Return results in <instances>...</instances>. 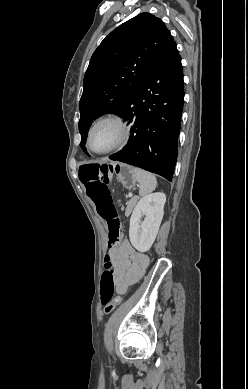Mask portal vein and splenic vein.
I'll use <instances>...</instances> for the list:
<instances>
[{"label": "portal vein and splenic vein", "instance_id": "18ae733b", "mask_svg": "<svg viewBox=\"0 0 248 389\" xmlns=\"http://www.w3.org/2000/svg\"><path fill=\"white\" fill-rule=\"evenodd\" d=\"M129 197H132L133 196V194L132 193H129V195H128Z\"/></svg>", "mask_w": 248, "mask_h": 389}]
</instances>
